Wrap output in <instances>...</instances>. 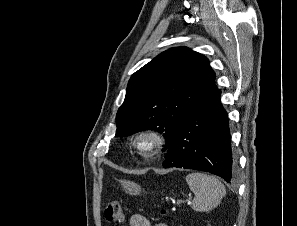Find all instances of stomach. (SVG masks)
<instances>
[{
	"instance_id": "stomach-1",
	"label": "stomach",
	"mask_w": 297,
	"mask_h": 226,
	"mask_svg": "<svg viewBox=\"0 0 297 226\" xmlns=\"http://www.w3.org/2000/svg\"><path fill=\"white\" fill-rule=\"evenodd\" d=\"M123 188L130 194L137 195L141 192L140 185L131 181H122Z\"/></svg>"
}]
</instances>
